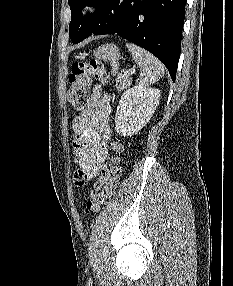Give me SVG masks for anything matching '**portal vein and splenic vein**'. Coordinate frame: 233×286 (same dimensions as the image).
Listing matches in <instances>:
<instances>
[{
  "instance_id": "1",
  "label": "portal vein and splenic vein",
  "mask_w": 233,
  "mask_h": 286,
  "mask_svg": "<svg viewBox=\"0 0 233 286\" xmlns=\"http://www.w3.org/2000/svg\"><path fill=\"white\" fill-rule=\"evenodd\" d=\"M134 73V71H132V70H126V71H124V76H130V75H132Z\"/></svg>"
}]
</instances>
